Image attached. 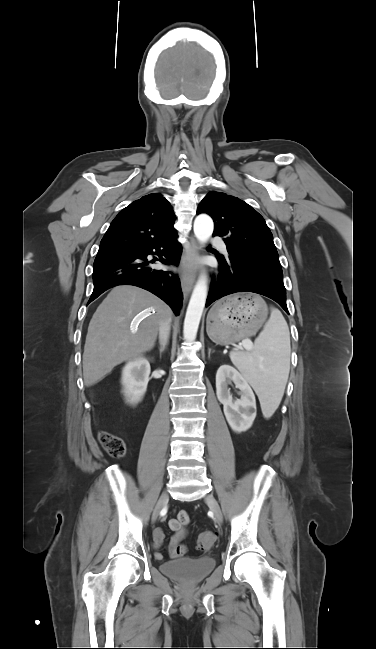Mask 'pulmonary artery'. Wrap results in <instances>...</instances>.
Listing matches in <instances>:
<instances>
[{
  "mask_svg": "<svg viewBox=\"0 0 376 649\" xmlns=\"http://www.w3.org/2000/svg\"><path fill=\"white\" fill-rule=\"evenodd\" d=\"M211 242L214 245H217L218 247H220L223 251L227 250V247H226L225 243L220 238L214 237V238L211 239Z\"/></svg>",
  "mask_w": 376,
  "mask_h": 649,
  "instance_id": "pulmonary-artery-1",
  "label": "pulmonary artery"
}]
</instances>
